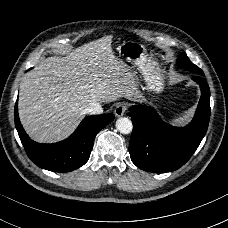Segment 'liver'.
Returning a JSON list of instances; mask_svg holds the SVG:
<instances>
[{
  "label": "liver",
  "instance_id": "1",
  "mask_svg": "<svg viewBox=\"0 0 228 228\" xmlns=\"http://www.w3.org/2000/svg\"><path fill=\"white\" fill-rule=\"evenodd\" d=\"M112 36H105L39 62L22 79L19 117L37 142L68 137L93 103H109L137 95L135 72L114 56Z\"/></svg>",
  "mask_w": 228,
  "mask_h": 228
}]
</instances>
